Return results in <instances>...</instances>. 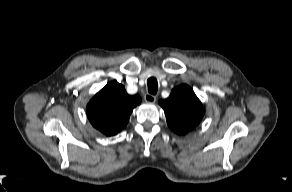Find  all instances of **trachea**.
<instances>
[{"instance_id": "3493384b", "label": "trachea", "mask_w": 292, "mask_h": 192, "mask_svg": "<svg viewBox=\"0 0 292 192\" xmlns=\"http://www.w3.org/2000/svg\"><path fill=\"white\" fill-rule=\"evenodd\" d=\"M147 85H148V92L150 94H156L157 93V90H158V82H157V79L156 78H149L147 80Z\"/></svg>"}]
</instances>
